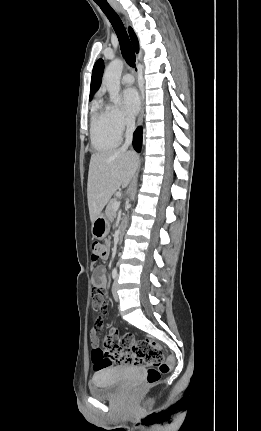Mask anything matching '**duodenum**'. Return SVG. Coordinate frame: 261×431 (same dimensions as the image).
<instances>
[{"instance_id": "obj_1", "label": "duodenum", "mask_w": 261, "mask_h": 431, "mask_svg": "<svg viewBox=\"0 0 261 431\" xmlns=\"http://www.w3.org/2000/svg\"><path fill=\"white\" fill-rule=\"evenodd\" d=\"M122 235H123V228L120 227L117 231V234H116V242L120 241V239L122 238Z\"/></svg>"}]
</instances>
